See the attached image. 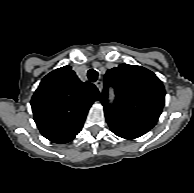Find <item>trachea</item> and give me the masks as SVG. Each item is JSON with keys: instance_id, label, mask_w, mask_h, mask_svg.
<instances>
[{"instance_id": "1", "label": "trachea", "mask_w": 194, "mask_h": 193, "mask_svg": "<svg viewBox=\"0 0 194 193\" xmlns=\"http://www.w3.org/2000/svg\"><path fill=\"white\" fill-rule=\"evenodd\" d=\"M87 76L91 82H95L98 78V72L94 69H90L87 73Z\"/></svg>"}]
</instances>
